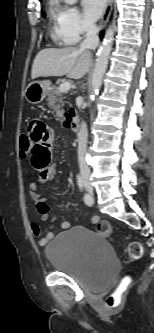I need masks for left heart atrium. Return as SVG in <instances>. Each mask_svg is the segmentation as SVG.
Instances as JSON below:
<instances>
[{"label":"left heart atrium","mask_w":154,"mask_h":333,"mask_svg":"<svg viewBox=\"0 0 154 333\" xmlns=\"http://www.w3.org/2000/svg\"><path fill=\"white\" fill-rule=\"evenodd\" d=\"M107 0H82L84 13L88 20L95 21L103 13Z\"/></svg>","instance_id":"39dd6f15"}]
</instances>
